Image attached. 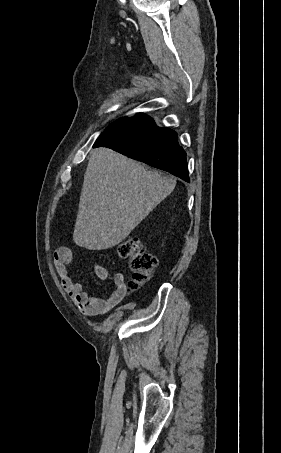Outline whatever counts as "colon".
I'll use <instances>...</instances> for the list:
<instances>
[{
	"instance_id": "5ec220e1",
	"label": "colon",
	"mask_w": 281,
	"mask_h": 453,
	"mask_svg": "<svg viewBox=\"0 0 281 453\" xmlns=\"http://www.w3.org/2000/svg\"><path fill=\"white\" fill-rule=\"evenodd\" d=\"M117 255L128 263L131 271L130 286L135 287L147 282L157 266L158 260L147 251L137 238H128L113 245Z\"/></svg>"
}]
</instances>
